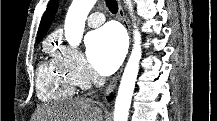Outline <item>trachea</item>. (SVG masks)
I'll use <instances>...</instances> for the list:
<instances>
[{"label": "trachea", "mask_w": 217, "mask_h": 121, "mask_svg": "<svg viewBox=\"0 0 217 121\" xmlns=\"http://www.w3.org/2000/svg\"><path fill=\"white\" fill-rule=\"evenodd\" d=\"M106 6L108 7V9L113 13H117L118 11V4L116 2V0H105Z\"/></svg>", "instance_id": "trachea-1"}]
</instances>
